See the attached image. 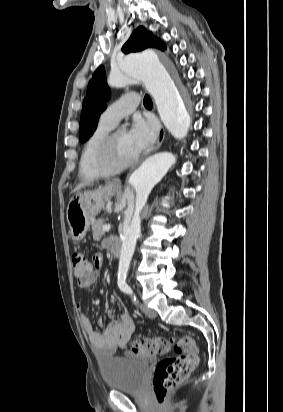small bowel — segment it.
I'll return each instance as SVG.
<instances>
[{"label":"small bowel","mask_w":283,"mask_h":412,"mask_svg":"<svg viewBox=\"0 0 283 412\" xmlns=\"http://www.w3.org/2000/svg\"><path fill=\"white\" fill-rule=\"evenodd\" d=\"M113 239H108L105 245L110 247ZM99 259V263L91 270L88 279L81 282V286L88 288L97 281L98 273L102 265V258L99 254L94 255ZM77 308H81V304L77 303ZM80 325L82 330L88 336L95 354L99 357L112 356L118 351H124L128 357H133V354L128 352L131 345V335L134 331V322L124 305L120 306V314L118 318L112 320L102 332L93 329L90 319L85 314L79 315ZM100 327L105 325L102 318L97 320Z\"/></svg>","instance_id":"1"}]
</instances>
